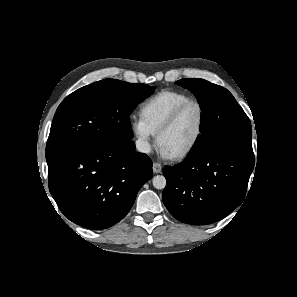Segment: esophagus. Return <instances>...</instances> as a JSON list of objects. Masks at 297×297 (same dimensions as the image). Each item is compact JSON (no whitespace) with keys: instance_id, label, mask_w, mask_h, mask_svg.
Instances as JSON below:
<instances>
[{"instance_id":"obj_1","label":"esophagus","mask_w":297,"mask_h":297,"mask_svg":"<svg viewBox=\"0 0 297 297\" xmlns=\"http://www.w3.org/2000/svg\"><path fill=\"white\" fill-rule=\"evenodd\" d=\"M162 171V165L160 163H153V172L160 173Z\"/></svg>"}]
</instances>
